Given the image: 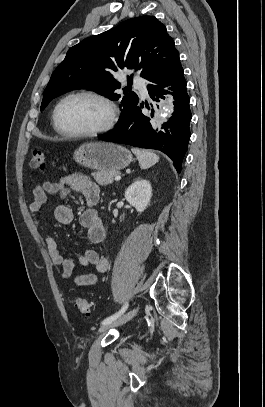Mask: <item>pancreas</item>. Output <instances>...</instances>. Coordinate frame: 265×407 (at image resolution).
Segmentation results:
<instances>
[{
  "instance_id": "pancreas-1",
  "label": "pancreas",
  "mask_w": 265,
  "mask_h": 407,
  "mask_svg": "<svg viewBox=\"0 0 265 407\" xmlns=\"http://www.w3.org/2000/svg\"><path fill=\"white\" fill-rule=\"evenodd\" d=\"M118 175L117 171H98L92 173L96 182L102 186H107L113 183V179Z\"/></svg>"
}]
</instances>
